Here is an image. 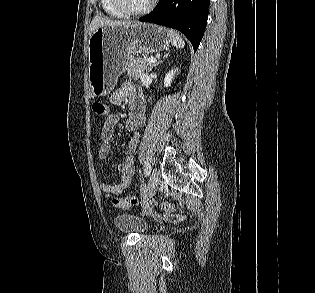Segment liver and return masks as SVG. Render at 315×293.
<instances>
[{
    "instance_id": "1",
    "label": "liver",
    "mask_w": 315,
    "mask_h": 293,
    "mask_svg": "<svg viewBox=\"0 0 315 293\" xmlns=\"http://www.w3.org/2000/svg\"><path fill=\"white\" fill-rule=\"evenodd\" d=\"M128 23H130V22L117 21V20H112V19L96 16V17L93 18V20H92V22L90 24V29H89L90 36L99 27H104V26H112V27H114V26L126 25Z\"/></svg>"
}]
</instances>
